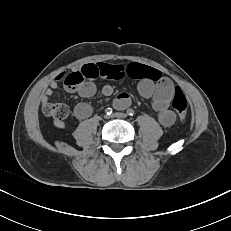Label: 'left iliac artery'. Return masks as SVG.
I'll use <instances>...</instances> for the list:
<instances>
[{
    "instance_id": "left-iliac-artery-1",
    "label": "left iliac artery",
    "mask_w": 231,
    "mask_h": 231,
    "mask_svg": "<svg viewBox=\"0 0 231 231\" xmlns=\"http://www.w3.org/2000/svg\"><path fill=\"white\" fill-rule=\"evenodd\" d=\"M127 114H128L129 116H133V115H134V110H133V109H128V110H127Z\"/></svg>"
}]
</instances>
